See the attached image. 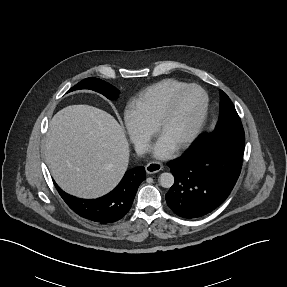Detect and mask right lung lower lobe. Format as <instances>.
I'll list each match as a JSON object with an SVG mask.
<instances>
[{"instance_id": "98d812e1", "label": "right lung lower lobe", "mask_w": 287, "mask_h": 287, "mask_svg": "<svg viewBox=\"0 0 287 287\" xmlns=\"http://www.w3.org/2000/svg\"><path fill=\"white\" fill-rule=\"evenodd\" d=\"M146 179L144 167L125 173L118 186L107 195L93 200L80 199L56 188L65 203L79 216L98 224L114 223L123 218L132 206L141 182Z\"/></svg>"}]
</instances>
